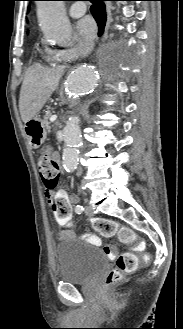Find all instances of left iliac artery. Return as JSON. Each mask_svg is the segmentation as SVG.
Returning <instances> with one entry per match:
<instances>
[{
    "label": "left iliac artery",
    "mask_w": 183,
    "mask_h": 329,
    "mask_svg": "<svg viewBox=\"0 0 183 329\" xmlns=\"http://www.w3.org/2000/svg\"><path fill=\"white\" fill-rule=\"evenodd\" d=\"M83 211H84L83 206H81V205H77V206H76V208H75V212H76L77 214H81Z\"/></svg>",
    "instance_id": "obj_1"
}]
</instances>
